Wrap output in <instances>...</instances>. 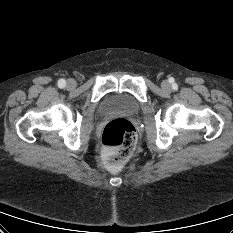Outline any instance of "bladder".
I'll use <instances>...</instances> for the list:
<instances>
[{
    "mask_svg": "<svg viewBox=\"0 0 233 233\" xmlns=\"http://www.w3.org/2000/svg\"><path fill=\"white\" fill-rule=\"evenodd\" d=\"M139 109V102L125 93H112L103 98L99 111L103 114L114 112L135 113Z\"/></svg>",
    "mask_w": 233,
    "mask_h": 233,
    "instance_id": "bladder-1",
    "label": "bladder"
}]
</instances>
